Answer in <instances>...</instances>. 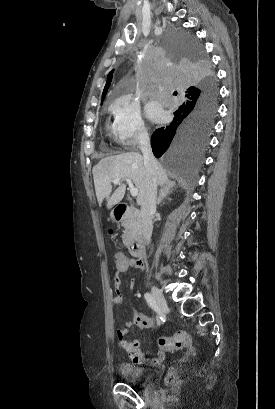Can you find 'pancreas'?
Instances as JSON below:
<instances>
[{"label":"pancreas","instance_id":"cf45deb5","mask_svg":"<svg viewBox=\"0 0 275 409\" xmlns=\"http://www.w3.org/2000/svg\"><path fill=\"white\" fill-rule=\"evenodd\" d=\"M121 225L125 229L124 235H122L123 245H125V247H129L134 237L141 233V221L139 213H137V211H134L133 207H130L124 219H122Z\"/></svg>","mask_w":275,"mask_h":409}]
</instances>
